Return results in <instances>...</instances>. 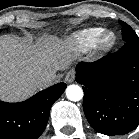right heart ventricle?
I'll list each match as a JSON object with an SVG mask.
<instances>
[{
  "mask_svg": "<svg viewBox=\"0 0 139 139\" xmlns=\"http://www.w3.org/2000/svg\"><path fill=\"white\" fill-rule=\"evenodd\" d=\"M102 31L103 28L101 27L86 28L74 33L70 37L69 41L74 48L79 51L85 52L94 47L95 42Z\"/></svg>",
  "mask_w": 139,
  "mask_h": 139,
  "instance_id": "e07e8e85",
  "label": "right heart ventricle"
}]
</instances>
